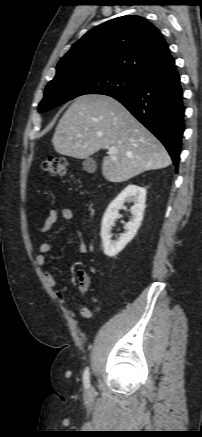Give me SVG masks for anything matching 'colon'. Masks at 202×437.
Masks as SVG:
<instances>
[{
    "label": "colon",
    "instance_id": "1",
    "mask_svg": "<svg viewBox=\"0 0 202 437\" xmlns=\"http://www.w3.org/2000/svg\"><path fill=\"white\" fill-rule=\"evenodd\" d=\"M42 169L53 175H63L67 172L68 163L64 158L51 156L43 161ZM81 276L82 273L78 275V281Z\"/></svg>",
    "mask_w": 202,
    "mask_h": 437
}]
</instances>
